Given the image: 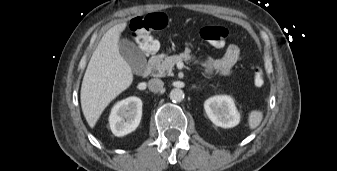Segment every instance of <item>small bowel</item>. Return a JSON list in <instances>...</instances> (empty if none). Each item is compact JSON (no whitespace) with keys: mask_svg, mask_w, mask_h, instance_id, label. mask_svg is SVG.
I'll return each instance as SVG.
<instances>
[{"mask_svg":"<svg viewBox=\"0 0 337 171\" xmlns=\"http://www.w3.org/2000/svg\"><path fill=\"white\" fill-rule=\"evenodd\" d=\"M241 59V52L237 45L231 44L228 46L225 54L219 59L206 57L204 64L205 68L210 73H218L221 75L231 74L233 67Z\"/></svg>","mask_w":337,"mask_h":171,"instance_id":"small-bowel-1","label":"small bowel"}]
</instances>
